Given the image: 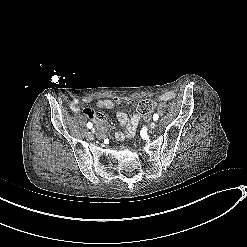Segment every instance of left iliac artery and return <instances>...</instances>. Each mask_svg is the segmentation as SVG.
Instances as JSON below:
<instances>
[{
	"mask_svg": "<svg viewBox=\"0 0 247 247\" xmlns=\"http://www.w3.org/2000/svg\"><path fill=\"white\" fill-rule=\"evenodd\" d=\"M158 118H159V115H158L157 113H155V114L153 115V120H154V121H157Z\"/></svg>",
	"mask_w": 247,
	"mask_h": 247,
	"instance_id": "left-iliac-artery-1",
	"label": "left iliac artery"
}]
</instances>
